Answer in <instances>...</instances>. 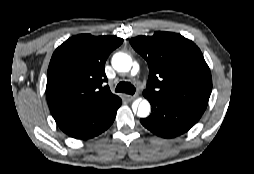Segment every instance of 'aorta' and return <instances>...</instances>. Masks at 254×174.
<instances>
[{
	"label": "aorta",
	"instance_id": "1",
	"mask_svg": "<svg viewBox=\"0 0 254 174\" xmlns=\"http://www.w3.org/2000/svg\"><path fill=\"white\" fill-rule=\"evenodd\" d=\"M133 65L132 59L125 53H116L112 57V66L118 72H128ZM139 70V65H134V73ZM151 110L150 103L147 100H142L138 106L137 116L140 118H146Z\"/></svg>",
	"mask_w": 254,
	"mask_h": 174
}]
</instances>
